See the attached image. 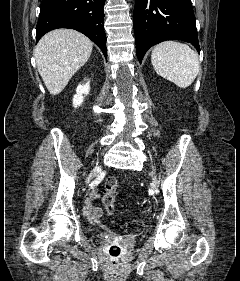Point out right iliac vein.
Instances as JSON below:
<instances>
[{
	"mask_svg": "<svg viewBox=\"0 0 240 281\" xmlns=\"http://www.w3.org/2000/svg\"><path fill=\"white\" fill-rule=\"evenodd\" d=\"M98 170V167H96L93 172L89 175L88 179H87V183H89L92 178L94 177V175L96 174V171Z\"/></svg>",
	"mask_w": 240,
	"mask_h": 281,
	"instance_id": "obj_1",
	"label": "right iliac vein"
}]
</instances>
